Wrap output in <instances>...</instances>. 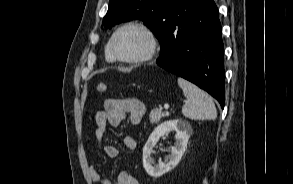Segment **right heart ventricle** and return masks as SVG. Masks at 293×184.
<instances>
[{"label": "right heart ventricle", "instance_id": "right-heart-ventricle-1", "mask_svg": "<svg viewBox=\"0 0 293 184\" xmlns=\"http://www.w3.org/2000/svg\"><path fill=\"white\" fill-rule=\"evenodd\" d=\"M105 58L108 62H114L115 59L112 57L110 50H109V42L107 43L106 47H105Z\"/></svg>", "mask_w": 293, "mask_h": 184}]
</instances>
